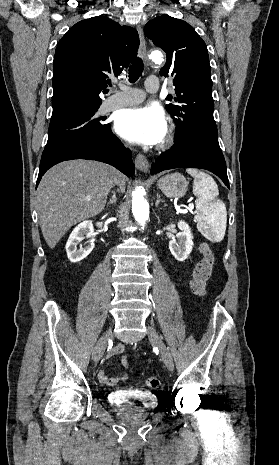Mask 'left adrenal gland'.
I'll return each instance as SVG.
<instances>
[{"label":"left adrenal gland","instance_id":"obj_1","mask_svg":"<svg viewBox=\"0 0 279 465\" xmlns=\"http://www.w3.org/2000/svg\"><path fill=\"white\" fill-rule=\"evenodd\" d=\"M160 202L165 203V201L162 200V199L160 198V195L157 193V200H156V202H155V206L158 207V205H159Z\"/></svg>","mask_w":279,"mask_h":465}]
</instances>
